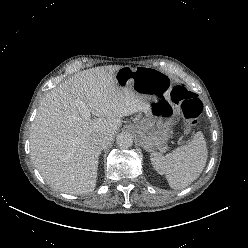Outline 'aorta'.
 I'll use <instances>...</instances> for the list:
<instances>
[{"mask_svg":"<svg viewBox=\"0 0 248 248\" xmlns=\"http://www.w3.org/2000/svg\"><path fill=\"white\" fill-rule=\"evenodd\" d=\"M116 142L120 148L128 149L133 145V137L127 132H122L117 136Z\"/></svg>","mask_w":248,"mask_h":248,"instance_id":"obj_1","label":"aorta"}]
</instances>
